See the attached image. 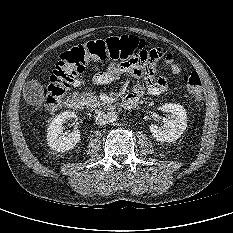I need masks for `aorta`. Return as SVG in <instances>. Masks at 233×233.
Returning <instances> with one entry per match:
<instances>
[{"mask_svg":"<svg viewBox=\"0 0 233 233\" xmlns=\"http://www.w3.org/2000/svg\"><path fill=\"white\" fill-rule=\"evenodd\" d=\"M106 117H107V122L109 123H113V122H116L117 119H118V114L116 111H108L107 114H106Z\"/></svg>","mask_w":233,"mask_h":233,"instance_id":"1","label":"aorta"}]
</instances>
